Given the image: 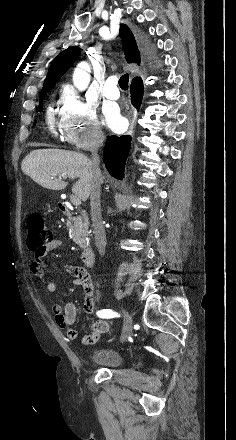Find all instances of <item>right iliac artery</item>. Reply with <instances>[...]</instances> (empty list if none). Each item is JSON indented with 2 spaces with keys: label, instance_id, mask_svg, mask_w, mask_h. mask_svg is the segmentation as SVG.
<instances>
[{
  "label": "right iliac artery",
  "instance_id": "1",
  "mask_svg": "<svg viewBox=\"0 0 236 440\" xmlns=\"http://www.w3.org/2000/svg\"><path fill=\"white\" fill-rule=\"evenodd\" d=\"M97 316L100 318H105V319H109V318H114V317H119L120 315L117 312H114L111 309H103V310H99L97 311Z\"/></svg>",
  "mask_w": 236,
  "mask_h": 440
}]
</instances>
